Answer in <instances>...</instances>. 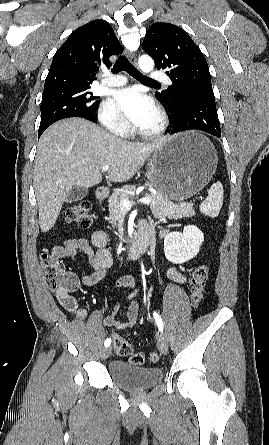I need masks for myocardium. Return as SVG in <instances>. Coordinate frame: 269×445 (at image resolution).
I'll use <instances>...</instances> for the list:
<instances>
[{
  "label": "myocardium",
  "mask_w": 269,
  "mask_h": 445,
  "mask_svg": "<svg viewBox=\"0 0 269 445\" xmlns=\"http://www.w3.org/2000/svg\"><path fill=\"white\" fill-rule=\"evenodd\" d=\"M157 115L159 119L158 125L154 129L149 131L137 129L136 132L138 133V135L145 139H151L159 137L165 133L169 125L168 117L162 109L157 110Z\"/></svg>",
  "instance_id": "f54148a6"
}]
</instances>
